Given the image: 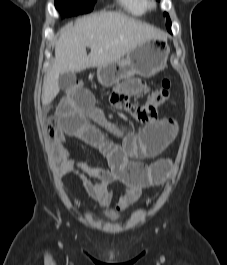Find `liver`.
Here are the masks:
<instances>
[{
	"mask_svg": "<svg viewBox=\"0 0 227 265\" xmlns=\"http://www.w3.org/2000/svg\"><path fill=\"white\" fill-rule=\"evenodd\" d=\"M151 39L165 40L166 34L113 11L95 13L65 25L56 42L54 63L44 78L42 104L48 105L59 93L60 74L107 66ZM86 47L91 49L89 55Z\"/></svg>",
	"mask_w": 227,
	"mask_h": 265,
	"instance_id": "1",
	"label": "liver"
}]
</instances>
